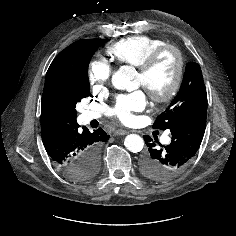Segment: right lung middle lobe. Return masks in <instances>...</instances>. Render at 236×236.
Listing matches in <instances>:
<instances>
[{"label":"right lung middle lobe","mask_w":236,"mask_h":236,"mask_svg":"<svg viewBox=\"0 0 236 236\" xmlns=\"http://www.w3.org/2000/svg\"><path fill=\"white\" fill-rule=\"evenodd\" d=\"M106 39H85L77 42L68 51L64 64L55 72L51 87L55 95L66 104L76 118V104L89 93L88 65L95 49L107 42ZM99 169V155L93 156L84 170L82 180L96 175Z\"/></svg>","instance_id":"right-lung-middle-lobe-1"}]
</instances>
